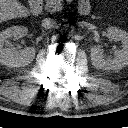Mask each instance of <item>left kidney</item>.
<instances>
[{
  "label": "left kidney",
  "instance_id": "left-kidney-1",
  "mask_svg": "<svg viewBox=\"0 0 128 128\" xmlns=\"http://www.w3.org/2000/svg\"><path fill=\"white\" fill-rule=\"evenodd\" d=\"M108 36L114 41L122 42V49L114 52V58H106L98 46L90 49L92 65L97 69L119 70L128 65V33L116 27L107 29Z\"/></svg>",
  "mask_w": 128,
  "mask_h": 128
}]
</instances>
